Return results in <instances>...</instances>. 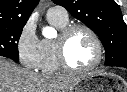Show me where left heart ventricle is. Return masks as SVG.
I'll return each instance as SVG.
<instances>
[{"label": "left heart ventricle", "instance_id": "left-heart-ventricle-1", "mask_svg": "<svg viewBox=\"0 0 127 92\" xmlns=\"http://www.w3.org/2000/svg\"><path fill=\"white\" fill-rule=\"evenodd\" d=\"M97 56L96 46L91 36L84 30L75 31L67 44L69 63L78 69L91 65Z\"/></svg>", "mask_w": 127, "mask_h": 92}]
</instances>
